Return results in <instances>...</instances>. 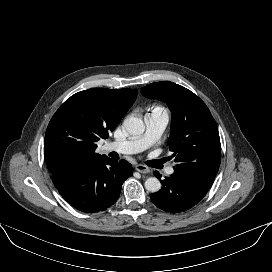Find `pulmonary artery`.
Returning a JSON list of instances; mask_svg holds the SVG:
<instances>
[{
	"instance_id": "1",
	"label": "pulmonary artery",
	"mask_w": 272,
	"mask_h": 272,
	"mask_svg": "<svg viewBox=\"0 0 272 272\" xmlns=\"http://www.w3.org/2000/svg\"><path fill=\"white\" fill-rule=\"evenodd\" d=\"M168 121L169 116L165 110L161 108H154L145 115L146 131L144 134L122 141H114L110 144V146L119 153H139L159 139L165 130ZM167 173L173 174L174 169L169 168Z\"/></svg>"
}]
</instances>
